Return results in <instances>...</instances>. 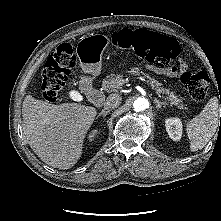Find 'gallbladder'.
Returning <instances> with one entry per match:
<instances>
[{"label":"gallbladder","instance_id":"gallbladder-1","mask_svg":"<svg viewBox=\"0 0 221 221\" xmlns=\"http://www.w3.org/2000/svg\"><path fill=\"white\" fill-rule=\"evenodd\" d=\"M65 96L67 98V100L71 101V102H78L82 100V93L78 91V89L71 87L69 89H67Z\"/></svg>","mask_w":221,"mask_h":221}]
</instances>
